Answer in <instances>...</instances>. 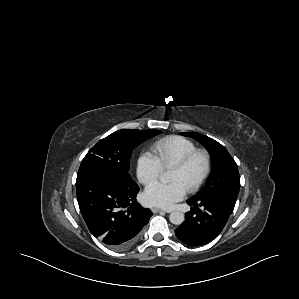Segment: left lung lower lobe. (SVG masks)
I'll use <instances>...</instances> for the list:
<instances>
[{
    "label": "left lung lower lobe",
    "mask_w": 299,
    "mask_h": 299,
    "mask_svg": "<svg viewBox=\"0 0 299 299\" xmlns=\"http://www.w3.org/2000/svg\"><path fill=\"white\" fill-rule=\"evenodd\" d=\"M187 203L193 208L185 214V221L175 234L189 246H201L212 241L223 230L234 210L233 205L220 198H191Z\"/></svg>",
    "instance_id": "0a47b994"
}]
</instances>
